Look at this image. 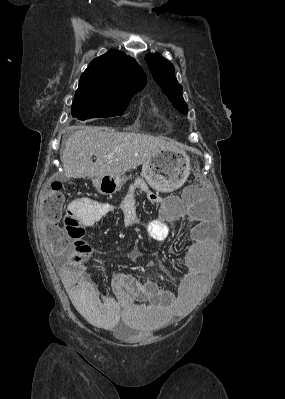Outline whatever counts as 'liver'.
Here are the masks:
<instances>
[{
    "instance_id": "6515ba94",
    "label": "liver",
    "mask_w": 285,
    "mask_h": 399,
    "mask_svg": "<svg viewBox=\"0 0 285 399\" xmlns=\"http://www.w3.org/2000/svg\"><path fill=\"white\" fill-rule=\"evenodd\" d=\"M175 148L172 141L153 135L80 126L67 139L61 161L67 178L95 180L106 175L121 176L159 151Z\"/></svg>"
}]
</instances>
